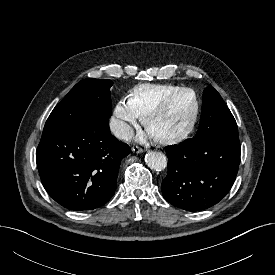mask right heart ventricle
I'll use <instances>...</instances> for the list:
<instances>
[{"mask_svg": "<svg viewBox=\"0 0 275 275\" xmlns=\"http://www.w3.org/2000/svg\"><path fill=\"white\" fill-rule=\"evenodd\" d=\"M178 88L173 84H140L129 92L127 102L140 118H144L163 97Z\"/></svg>", "mask_w": 275, "mask_h": 275, "instance_id": "right-heart-ventricle-1", "label": "right heart ventricle"}]
</instances>
